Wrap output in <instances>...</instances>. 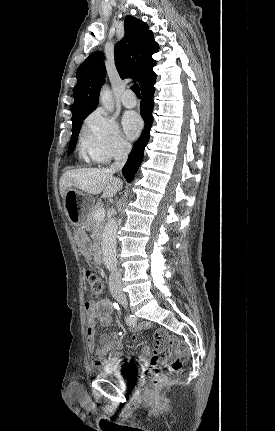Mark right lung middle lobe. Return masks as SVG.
I'll use <instances>...</instances> for the list:
<instances>
[{"label":"right lung middle lobe","instance_id":"right-lung-middle-lobe-1","mask_svg":"<svg viewBox=\"0 0 275 431\" xmlns=\"http://www.w3.org/2000/svg\"><path fill=\"white\" fill-rule=\"evenodd\" d=\"M81 123L82 122L78 123L75 126H72V136H71L70 144H69V148H68V155H70L75 149L78 134H79L80 128H81Z\"/></svg>","mask_w":275,"mask_h":431}]
</instances>
